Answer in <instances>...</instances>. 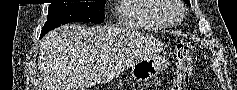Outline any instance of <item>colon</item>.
I'll return each instance as SVG.
<instances>
[{
  "instance_id": "obj_1",
  "label": "colon",
  "mask_w": 237,
  "mask_h": 90,
  "mask_svg": "<svg viewBox=\"0 0 237 90\" xmlns=\"http://www.w3.org/2000/svg\"><path fill=\"white\" fill-rule=\"evenodd\" d=\"M195 45L189 41H181L176 46V69L172 88L179 89L187 83L193 72Z\"/></svg>"
}]
</instances>
